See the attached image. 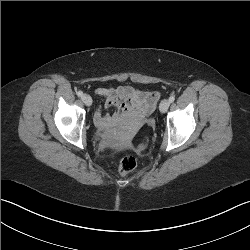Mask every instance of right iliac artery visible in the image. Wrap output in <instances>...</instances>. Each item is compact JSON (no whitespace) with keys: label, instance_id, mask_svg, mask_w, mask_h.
Instances as JSON below:
<instances>
[{"label":"right iliac artery","instance_id":"1","mask_svg":"<svg viewBox=\"0 0 250 250\" xmlns=\"http://www.w3.org/2000/svg\"><path fill=\"white\" fill-rule=\"evenodd\" d=\"M77 95H78L79 97H82V96H83V92H82V91H78V92H77Z\"/></svg>","mask_w":250,"mask_h":250}]
</instances>
